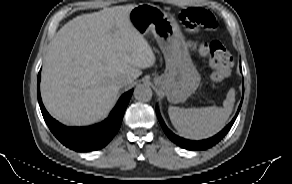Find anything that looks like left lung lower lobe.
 I'll return each mask as SVG.
<instances>
[{
  "label": "left lung lower lobe",
  "instance_id": "1",
  "mask_svg": "<svg viewBox=\"0 0 292 184\" xmlns=\"http://www.w3.org/2000/svg\"><path fill=\"white\" fill-rule=\"evenodd\" d=\"M241 104L242 101L240 103V106L238 108V111L235 115V117L232 119V121L221 131L219 132L217 135L206 139V140H202V141H190L181 137H178L177 135H175L174 133H172L167 126L165 125L163 119L160 116V113L158 111V109H156V113H157V117L158 120L161 124L162 129L164 130V132L166 133V135L177 145L181 146L182 148L185 149H189V150H205L207 148L212 147L213 145H215L216 143H218L226 134L227 132L230 130V128L232 127L233 123L236 120V117L239 113V110L241 108Z\"/></svg>",
  "mask_w": 292,
  "mask_h": 184
}]
</instances>
